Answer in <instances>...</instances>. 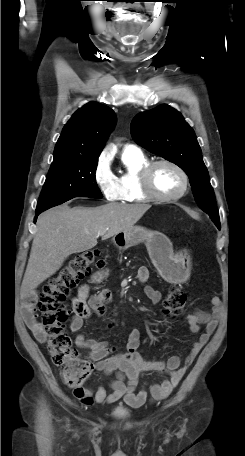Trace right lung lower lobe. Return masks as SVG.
<instances>
[{
	"instance_id": "obj_1",
	"label": "right lung lower lobe",
	"mask_w": 245,
	"mask_h": 456,
	"mask_svg": "<svg viewBox=\"0 0 245 456\" xmlns=\"http://www.w3.org/2000/svg\"><path fill=\"white\" fill-rule=\"evenodd\" d=\"M41 212H36V216H35V221L36 222V219H37V216L40 214Z\"/></svg>"
}]
</instances>
